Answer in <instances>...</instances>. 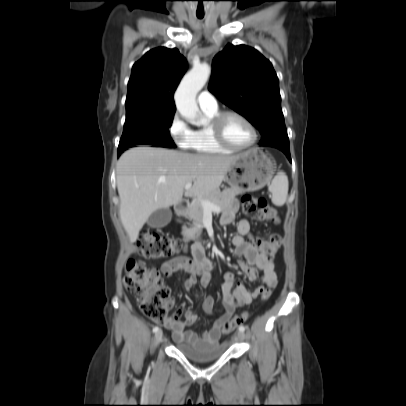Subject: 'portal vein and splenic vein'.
<instances>
[{
	"label": "portal vein and splenic vein",
	"instance_id": "portal-vein-and-splenic-vein-1",
	"mask_svg": "<svg viewBox=\"0 0 406 406\" xmlns=\"http://www.w3.org/2000/svg\"><path fill=\"white\" fill-rule=\"evenodd\" d=\"M191 186H192V182H188L185 185V189L187 190V189L191 188ZM201 205H202L203 209L206 211H213V212H217V213L220 212V208L217 205L209 202L208 200H202Z\"/></svg>",
	"mask_w": 406,
	"mask_h": 406
}]
</instances>
